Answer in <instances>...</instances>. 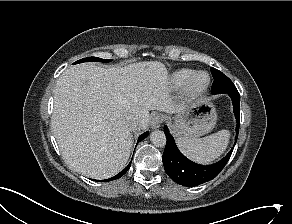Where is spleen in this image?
Wrapping results in <instances>:
<instances>
[{
	"instance_id": "1",
	"label": "spleen",
	"mask_w": 292,
	"mask_h": 224,
	"mask_svg": "<svg viewBox=\"0 0 292 224\" xmlns=\"http://www.w3.org/2000/svg\"><path fill=\"white\" fill-rule=\"evenodd\" d=\"M230 138L228 130H221L202 139L181 137L177 139L180 150L191 160L208 164L226 150Z\"/></svg>"
}]
</instances>
